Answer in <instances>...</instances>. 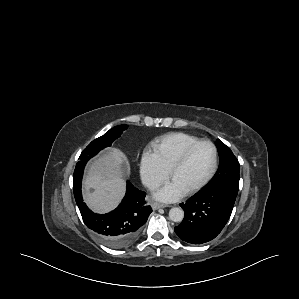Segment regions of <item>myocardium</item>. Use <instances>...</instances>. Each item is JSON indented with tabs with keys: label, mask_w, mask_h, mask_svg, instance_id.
<instances>
[{
	"label": "myocardium",
	"mask_w": 299,
	"mask_h": 299,
	"mask_svg": "<svg viewBox=\"0 0 299 299\" xmlns=\"http://www.w3.org/2000/svg\"><path fill=\"white\" fill-rule=\"evenodd\" d=\"M202 144H209L214 152V160H213V165L208 173V175L198 184L194 185L193 187L189 188L188 190L184 191L185 194H192L200 189H202L204 186H206L211 179L214 177L217 168H218V149L216 145L210 141V140H199L195 142L194 144L190 145L188 148L184 150V152L180 155V157L176 160V162L172 165L170 171H169V177L171 180H173V177L175 173L187 162L189 156L191 153L200 145Z\"/></svg>",
	"instance_id": "obj_1"
}]
</instances>
